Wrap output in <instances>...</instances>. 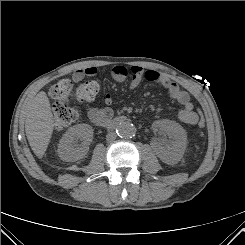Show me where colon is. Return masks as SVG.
Here are the masks:
<instances>
[{"label": "colon", "mask_w": 245, "mask_h": 245, "mask_svg": "<svg viewBox=\"0 0 245 245\" xmlns=\"http://www.w3.org/2000/svg\"><path fill=\"white\" fill-rule=\"evenodd\" d=\"M99 93V84L94 80L86 81L75 87L70 79H62L54 84L50 90L52 98L55 100L53 105V113L55 119V127L62 130L76 121L80 111L76 106L70 105L69 101L74 99L77 101L93 100ZM205 122L202 117L198 120V127L204 128Z\"/></svg>", "instance_id": "obj_1"}]
</instances>
